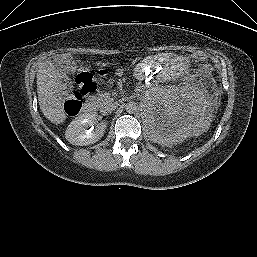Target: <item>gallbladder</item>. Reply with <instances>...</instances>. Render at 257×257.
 <instances>
[{
    "instance_id": "bac80fb5",
    "label": "gallbladder",
    "mask_w": 257,
    "mask_h": 257,
    "mask_svg": "<svg viewBox=\"0 0 257 257\" xmlns=\"http://www.w3.org/2000/svg\"><path fill=\"white\" fill-rule=\"evenodd\" d=\"M54 66L61 72L72 75L76 72V63L74 58L70 54L60 55L55 58L53 62Z\"/></svg>"
}]
</instances>
